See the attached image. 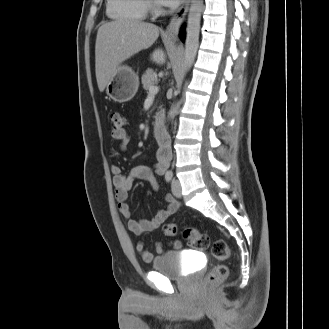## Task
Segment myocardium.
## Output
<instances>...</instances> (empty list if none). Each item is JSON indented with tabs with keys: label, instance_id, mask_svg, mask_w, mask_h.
Instances as JSON below:
<instances>
[{
	"label": "myocardium",
	"instance_id": "myocardium-1",
	"mask_svg": "<svg viewBox=\"0 0 329 329\" xmlns=\"http://www.w3.org/2000/svg\"><path fill=\"white\" fill-rule=\"evenodd\" d=\"M148 11L152 14H159L161 13V5L158 0H144Z\"/></svg>",
	"mask_w": 329,
	"mask_h": 329
}]
</instances>
